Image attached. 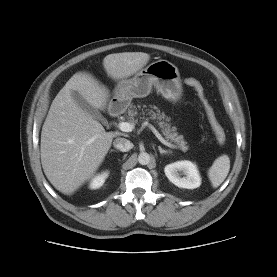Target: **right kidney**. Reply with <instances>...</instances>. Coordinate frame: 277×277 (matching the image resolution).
Masks as SVG:
<instances>
[{
  "label": "right kidney",
  "mask_w": 277,
  "mask_h": 277,
  "mask_svg": "<svg viewBox=\"0 0 277 277\" xmlns=\"http://www.w3.org/2000/svg\"><path fill=\"white\" fill-rule=\"evenodd\" d=\"M108 174H109L108 172H103V173L95 176L91 180L89 187L91 189H98V188H100L104 184L105 179L108 177Z\"/></svg>",
  "instance_id": "ca27d5eb"
}]
</instances>
